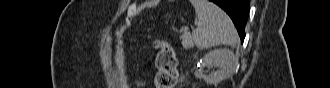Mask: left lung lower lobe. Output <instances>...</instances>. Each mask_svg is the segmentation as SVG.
I'll use <instances>...</instances> for the list:
<instances>
[{"label":"left lung lower lobe","instance_id":"1","mask_svg":"<svg viewBox=\"0 0 330 88\" xmlns=\"http://www.w3.org/2000/svg\"><path fill=\"white\" fill-rule=\"evenodd\" d=\"M221 7L232 19L243 43L245 38V25L249 14L250 0H210Z\"/></svg>","mask_w":330,"mask_h":88}]
</instances>
